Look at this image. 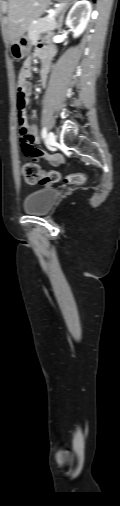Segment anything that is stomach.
Masks as SVG:
<instances>
[{
	"mask_svg": "<svg viewBox=\"0 0 120 506\" xmlns=\"http://www.w3.org/2000/svg\"><path fill=\"white\" fill-rule=\"evenodd\" d=\"M63 3H68L71 0H59ZM32 41L29 36L23 34L16 42L11 45V53L14 59L22 60L27 57L32 47Z\"/></svg>",
	"mask_w": 120,
	"mask_h": 506,
	"instance_id": "obj_1",
	"label": "stomach"
}]
</instances>
